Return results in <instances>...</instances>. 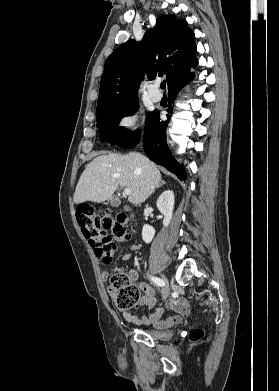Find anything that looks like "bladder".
Returning <instances> with one entry per match:
<instances>
[{
    "label": "bladder",
    "instance_id": "31cf9c89",
    "mask_svg": "<svg viewBox=\"0 0 279 391\" xmlns=\"http://www.w3.org/2000/svg\"><path fill=\"white\" fill-rule=\"evenodd\" d=\"M146 334L154 340L166 341L170 339L172 333L170 331H163L158 329H150L146 331Z\"/></svg>",
    "mask_w": 279,
    "mask_h": 391
}]
</instances>
